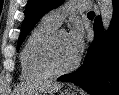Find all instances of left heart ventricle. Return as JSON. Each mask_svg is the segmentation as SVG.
Masks as SVG:
<instances>
[{"instance_id":"1","label":"left heart ventricle","mask_w":119,"mask_h":95,"mask_svg":"<svg viewBox=\"0 0 119 95\" xmlns=\"http://www.w3.org/2000/svg\"><path fill=\"white\" fill-rule=\"evenodd\" d=\"M77 55L69 46L67 33L60 31L54 45V61L58 67H67L74 62Z\"/></svg>"}]
</instances>
